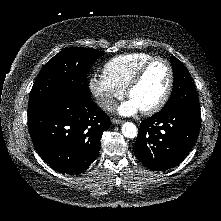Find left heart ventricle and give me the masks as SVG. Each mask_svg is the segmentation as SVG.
Returning a JSON list of instances; mask_svg holds the SVG:
<instances>
[{"mask_svg": "<svg viewBox=\"0 0 221 221\" xmlns=\"http://www.w3.org/2000/svg\"><path fill=\"white\" fill-rule=\"evenodd\" d=\"M168 82V71L162 62L153 63L141 82L132 90L130 99L140 110L155 105L162 97Z\"/></svg>", "mask_w": 221, "mask_h": 221, "instance_id": "obj_1", "label": "left heart ventricle"}]
</instances>
